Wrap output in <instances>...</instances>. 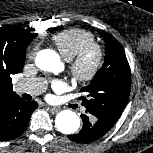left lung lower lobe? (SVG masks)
Returning a JSON list of instances; mask_svg holds the SVG:
<instances>
[{
    "label": "left lung lower lobe",
    "instance_id": "0a47b994",
    "mask_svg": "<svg viewBox=\"0 0 153 153\" xmlns=\"http://www.w3.org/2000/svg\"><path fill=\"white\" fill-rule=\"evenodd\" d=\"M81 117L83 120L81 131L75 135L68 136V138L74 142H94L103 137L110 130V127L90 114L82 115Z\"/></svg>",
    "mask_w": 153,
    "mask_h": 153
}]
</instances>
